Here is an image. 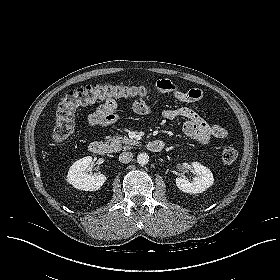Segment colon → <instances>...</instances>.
<instances>
[{"label": "colon", "instance_id": "1", "mask_svg": "<svg viewBox=\"0 0 280 280\" xmlns=\"http://www.w3.org/2000/svg\"><path fill=\"white\" fill-rule=\"evenodd\" d=\"M148 94L149 89L144 85L118 83H101L70 90L56 105L51 141L58 144L69 137L73 131L74 111L78 106L87 105L99 99H141ZM237 156L238 152L233 146L224 147L221 153L223 162L227 164L233 163Z\"/></svg>", "mask_w": 280, "mask_h": 280}]
</instances>
